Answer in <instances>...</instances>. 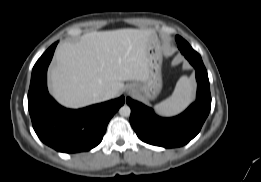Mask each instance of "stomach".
I'll return each instance as SVG.
<instances>
[{"label":"stomach","instance_id":"stomach-1","mask_svg":"<svg viewBox=\"0 0 261 182\" xmlns=\"http://www.w3.org/2000/svg\"><path fill=\"white\" fill-rule=\"evenodd\" d=\"M149 77L146 82L135 83L134 94L145 101L155 99L162 89V50L157 36H153L147 46Z\"/></svg>","mask_w":261,"mask_h":182}]
</instances>
